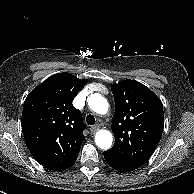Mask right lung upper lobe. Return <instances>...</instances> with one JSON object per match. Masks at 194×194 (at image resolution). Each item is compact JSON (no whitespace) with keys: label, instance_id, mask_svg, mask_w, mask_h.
I'll use <instances>...</instances> for the list:
<instances>
[{"label":"right lung upper lobe","instance_id":"obj_1","mask_svg":"<svg viewBox=\"0 0 194 194\" xmlns=\"http://www.w3.org/2000/svg\"><path fill=\"white\" fill-rule=\"evenodd\" d=\"M87 82L70 73L54 74L24 102L21 125L25 142L32 156L47 169H67L78 156L85 126L72 101Z\"/></svg>","mask_w":194,"mask_h":194}]
</instances>
